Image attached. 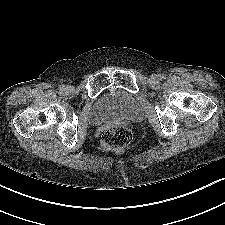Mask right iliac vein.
<instances>
[{"label": "right iliac vein", "mask_w": 225, "mask_h": 225, "mask_svg": "<svg viewBox=\"0 0 225 225\" xmlns=\"http://www.w3.org/2000/svg\"><path fill=\"white\" fill-rule=\"evenodd\" d=\"M67 90L71 91L72 90V87L71 86H68L67 87Z\"/></svg>", "instance_id": "obj_1"}]
</instances>
